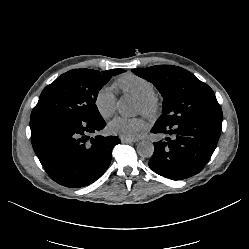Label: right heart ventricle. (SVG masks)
<instances>
[{
	"instance_id": "right-heart-ventricle-1",
	"label": "right heart ventricle",
	"mask_w": 249,
	"mask_h": 249,
	"mask_svg": "<svg viewBox=\"0 0 249 249\" xmlns=\"http://www.w3.org/2000/svg\"><path fill=\"white\" fill-rule=\"evenodd\" d=\"M116 86L123 92H127L138 99H143L155 95L154 84L137 74L125 73L118 77Z\"/></svg>"
}]
</instances>
